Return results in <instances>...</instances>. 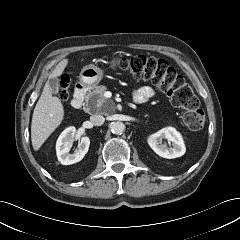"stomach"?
Returning a JSON list of instances; mask_svg holds the SVG:
<instances>
[{"label": "stomach", "instance_id": "1", "mask_svg": "<svg viewBox=\"0 0 240 240\" xmlns=\"http://www.w3.org/2000/svg\"><path fill=\"white\" fill-rule=\"evenodd\" d=\"M120 60V58L112 59V67L118 65ZM79 78L83 87L93 88L102 80L103 70L96 65L90 64L81 70Z\"/></svg>", "mask_w": 240, "mask_h": 240}]
</instances>
